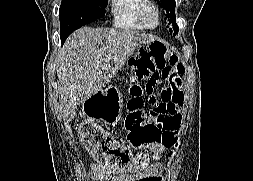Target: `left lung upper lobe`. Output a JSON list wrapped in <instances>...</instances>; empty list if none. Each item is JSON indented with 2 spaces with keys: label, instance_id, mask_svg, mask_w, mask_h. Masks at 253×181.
<instances>
[{
  "label": "left lung upper lobe",
  "instance_id": "5c2ea615",
  "mask_svg": "<svg viewBox=\"0 0 253 181\" xmlns=\"http://www.w3.org/2000/svg\"><path fill=\"white\" fill-rule=\"evenodd\" d=\"M157 3L162 7L166 12V17L169 20L170 32H174V36L178 33V25L176 24L175 17V0H157Z\"/></svg>",
  "mask_w": 253,
  "mask_h": 181
}]
</instances>
